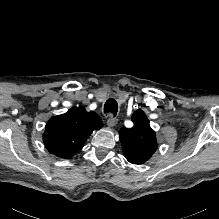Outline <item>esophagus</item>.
I'll return each mask as SVG.
<instances>
[{
    "label": "esophagus",
    "mask_w": 219,
    "mask_h": 219,
    "mask_svg": "<svg viewBox=\"0 0 219 219\" xmlns=\"http://www.w3.org/2000/svg\"><path fill=\"white\" fill-rule=\"evenodd\" d=\"M118 123V120L116 117H114L112 114H109L107 117V125L109 127H115Z\"/></svg>",
    "instance_id": "esophagus-1"
}]
</instances>
